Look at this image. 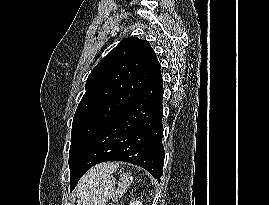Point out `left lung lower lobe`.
Segmentation results:
<instances>
[{"instance_id":"1","label":"left lung lower lobe","mask_w":269,"mask_h":205,"mask_svg":"<svg viewBox=\"0 0 269 205\" xmlns=\"http://www.w3.org/2000/svg\"><path fill=\"white\" fill-rule=\"evenodd\" d=\"M162 83L160 74L101 128L72 171L71 191L87 170L104 161L140 166L160 181L165 157Z\"/></svg>"}]
</instances>
